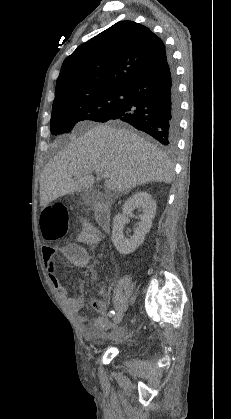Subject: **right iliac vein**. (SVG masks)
Listing matches in <instances>:
<instances>
[{
	"mask_svg": "<svg viewBox=\"0 0 231 419\" xmlns=\"http://www.w3.org/2000/svg\"><path fill=\"white\" fill-rule=\"evenodd\" d=\"M123 312H118L114 317H113V326H116L123 318Z\"/></svg>",
	"mask_w": 231,
	"mask_h": 419,
	"instance_id": "63e3f726",
	"label": "right iliac vein"
}]
</instances>
